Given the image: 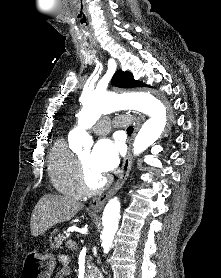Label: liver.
I'll return each instance as SVG.
<instances>
[{"mask_svg":"<svg viewBox=\"0 0 221 278\" xmlns=\"http://www.w3.org/2000/svg\"><path fill=\"white\" fill-rule=\"evenodd\" d=\"M84 204L70 197L45 194L36 204L30 219L31 234L37 237L52 226L71 220Z\"/></svg>","mask_w":221,"mask_h":278,"instance_id":"liver-1","label":"liver"}]
</instances>
